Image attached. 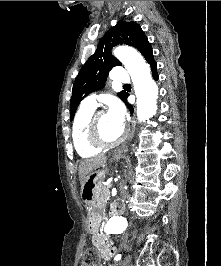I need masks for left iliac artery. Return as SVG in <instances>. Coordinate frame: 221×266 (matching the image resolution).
Instances as JSON below:
<instances>
[{
	"instance_id": "left-iliac-artery-1",
	"label": "left iliac artery",
	"mask_w": 221,
	"mask_h": 266,
	"mask_svg": "<svg viewBox=\"0 0 221 266\" xmlns=\"http://www.w3.org/2000/svg\"><path fill=\"white\" fill-rule=\"evenodd\" d=\"M121 259V254H118L116 257H115V260L118 261Z\"/></svg>"
}]
</instances>
